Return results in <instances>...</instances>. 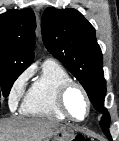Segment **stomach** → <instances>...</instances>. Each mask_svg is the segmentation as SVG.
Wrapping results in <instances>:
<instances>
[{"instance_id":"stomach-1","label":"stomach","mask_w":119,"mask_h":141,"mask_svg":"<svg viewBox=\"0 0 119 141\" xmlns=\"http://www.w3.org/2000/svg\"><path fill=\"white\" fill-rule=\"evenodd\" d=\"M75 136L73 130L62 126L52 131L43 141H72Z\"/></svg>"}]
</instances>
